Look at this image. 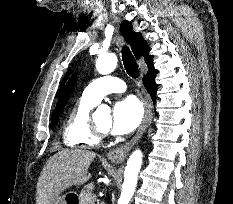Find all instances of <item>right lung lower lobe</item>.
<instances>
[{"label": "right lung lower lobe", "mask_w": 233, "mask_h": 204, "mask_svg": "<svg viewBox=\"0 0 233 204\" xmlns=\"http://www.w3.org/2000/svg\"><path fill=\"white\" fill-rule=\"evenodd\" d=\"M156 71L153 67L148 69V73L143 78V83L150 93L153 103L155 104L156 99V84H155Z\"/></svg>", "instance_id": "1"}]
</instances>
